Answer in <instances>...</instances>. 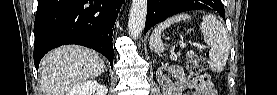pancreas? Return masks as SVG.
Masks as SVG:
<instances>
[{
	"mask_svg": "<svg viewBox=\"0 0 277 95\" xmlns=\"http://www.w3.org/2000/svg\"><path fill=\"white\" fill-rule=\"evenodd\" d=\"M170 58L172 59V60H178V58H179V55L178 54H172L171 56H170Z\"/></svg>",
	"mask_w": 277,
	"mask_h": 95,
	"instance_id": "obj_1",
	"label": "pancreas"
}]
</instances>
